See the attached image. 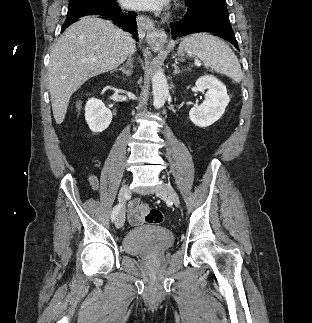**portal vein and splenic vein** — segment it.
Here are the masks:
<instances>
[{"mask_svg": "<svg viewBox=\"0 0 312 323\" xmlns=\"http://www.w3.org/2000/svg\"><path fill=\"white\" fill-rule=\"evenodd\" d=\"M92 62H96V60H92ZM196 66H200L198 60H196Z\"/></svg>", "mask_w": 312, "mask_h": 323, "instance_id": "18ae733b", "label": "portal vein and splenic vein"}]
</instances>
